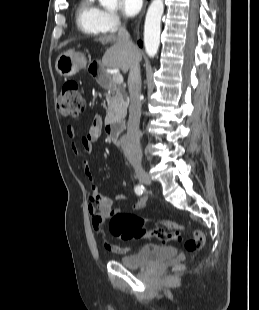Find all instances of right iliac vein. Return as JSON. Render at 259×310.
<instances>
[{"instance_id": "right-iliac-vein-1", "label": "right iliac vein", "mask_w": 259, "mask_h": 310, "mask_svg": "<svg viewBox=\"0 0 259 310\" xmlns=\"http://www.w3.org/2000/svg\"><path fill=\"white\" fill-rule=\"evenodd\" d=\"M135 174L139 181L145 185H151L152 181L148 173L143 169L141 165H135Z\"/></svg>"}]
</instances>
